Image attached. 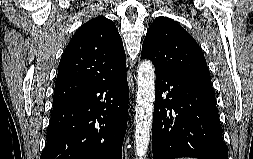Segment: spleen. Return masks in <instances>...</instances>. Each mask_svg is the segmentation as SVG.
Segmentation results:
<instances>
[{
    "instance_id": "1",
    "label": "spleen",
    "mask_w": 253,
    "mask_h": 159,
    "mask_svg": "<svg viewBox=\"0 0 253 159\" xmlns=\"http://www.w3.org/2000/svg\"><path fill=\"white\" fill-rule=\"evenodd\" d=\"M179 159H193V158H179Z\"/></svg>"
}]
</instances>
